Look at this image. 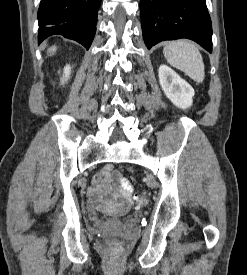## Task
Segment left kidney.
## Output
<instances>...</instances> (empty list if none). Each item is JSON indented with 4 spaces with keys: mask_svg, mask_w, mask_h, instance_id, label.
<instances>
[{
    "mask_svg": "<svg viewBox=\"0 0 247 275\" xmlns=\"http://www.w3.org/2000/svg\"><path fill=\"white\" fill-rule=\"evenodd\" d=\"M158 73L166 97L180 109L189 108L194 96L192 86L167 65H160Z\"/></svg>",
    "mask_w": 247,
    "mask_h": 275,
    "instance_id": "obj_1",
    "label": "left kidney"
}]
</instances>
